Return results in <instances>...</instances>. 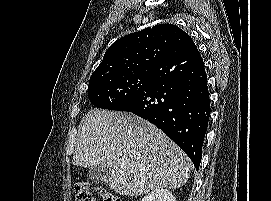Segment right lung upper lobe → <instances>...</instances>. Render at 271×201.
Wrapping results in <instances>:
<instances>
[{"label": "right lung upper lobe", "mask_w": 271, "mask_h": 201, "mask_svg": "<svg viewBox=\"0 0 271 201\" xmlns=\"http://www.w3.org/2000/svg\"><path fill=\"white\" fill-rule=\"evenodd\" d=\"M187 36L173 24H160L128 34L108 48L90 79L123 72H153L155 66Z\"/></svg>", "instance_id": "cb5924a9"}]
</instances>
